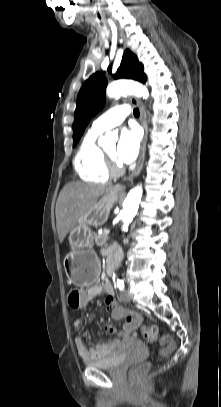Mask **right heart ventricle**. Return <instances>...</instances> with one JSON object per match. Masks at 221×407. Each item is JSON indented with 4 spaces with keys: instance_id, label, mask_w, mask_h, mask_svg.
I'll list each match as a JSON object with an SVG mask.
<instances>
[{
    "instance_id": "e07e8e85",
    "label": "right heart ventricle",
    "mask_w": 221,
    "mask_h": 407,
    "mask_svg": "<svg viewBox=\"0 0 221 407\" xmlns=\"http://www.w3.org/2000/svg\"><path fill=\"white\" fill-rule=\"evenodd\" d=\"M100 133L89 130L74 159L78 176L86 182L105 183L109 179L103 151L96 140Z\"/></svg>"
}]
</instances>
